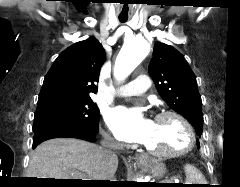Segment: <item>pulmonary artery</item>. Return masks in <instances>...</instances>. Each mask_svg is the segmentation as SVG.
Wrapping results in <instances>:
<instances>
[{
	"label": "pulmonary artery",
	"mask_w": 240,
	"mask_h": 187,
	"mask_svg": "<svg viewBox=\"0 0 240 187\" xmlns=\"http://www.w3.org/2000/svg\"><path fill=\"white\" fill-rule=\"evenodd\" d=\"M150 86V79L147 75L142 74L137 76L133 81L122 86L116 95L119 97L140 96L147 92Z\"/></svg>",
	"instance_id": "obj_1"
}]
</instances>
